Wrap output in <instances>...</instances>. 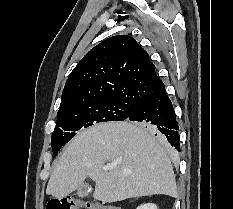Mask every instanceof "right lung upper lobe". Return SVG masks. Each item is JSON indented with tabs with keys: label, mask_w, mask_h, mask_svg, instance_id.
<instances>
[{
	"label": "right lung upper lobe",
	"mask_w": 233,
	"mask_h": 209,
	"mask_svg": "<svg viewBox=\"0 0 233 209\" xmlns=\"http://www.w3.org/2000/svg\"><path fill=\"white\" fill-rule=\"evenodd\" d=\"M164 89L148 53L128 35L93 47L70 73L57 115L102 99L138 104Z\"/></svg>",
	"instance_id": "right-lung-upper-lobe-1"
}]
</instances>
